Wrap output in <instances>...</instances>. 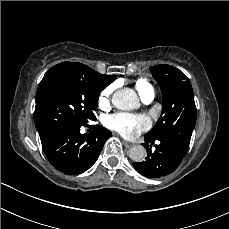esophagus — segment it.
Returning a JSON list of instances; mask_svg holds the SVG:
<instances>
[{"label":"esophagus","mask_w":229,"mask_h":229,"mask_svg":"<svg viewBox=\"0 0 229 229\" xmlns=\"http://www.w3.org/2000/svg\"><path fill=\"white\" fill-rule=\"evenodd\" d=\"M122 142H123V145H124L127 149L131 148V147L134 145L132 142H129V141H126V140H123Z\"/></svg>","instance_id":"obj_1"}]
</instances>
